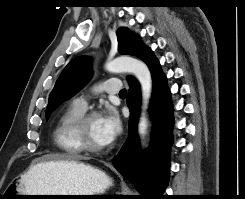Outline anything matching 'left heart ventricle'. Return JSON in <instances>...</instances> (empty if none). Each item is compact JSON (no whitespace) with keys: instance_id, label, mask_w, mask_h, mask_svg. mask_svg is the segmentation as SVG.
Instances as JSON below:
<instances>
[{"instance_id":"left-heart-ventricle-1","label":"left heart ventricle","mask_w":245,"mask_h":199,"mask_svg":"<svg viewBox=\"0 0 245 199\" xmlns=\"http://www.w3.org/2000/svg\"><path fill=\"white\" fill-rule=\"evenodd\" d=\"M86 138L94 146H106L101 127L99 123V116L89 120L86 125Z\"/></svg>"}]
</instances>
